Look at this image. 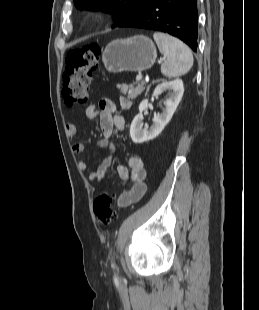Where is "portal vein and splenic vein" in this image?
<instances>
[{
	"label": "portal vein and splenic vein",
	"instance_id": "1",
	"mask_svg": "<svg viewBox=\"0 0 259 310\" xmlns=\"http://www.w3.org/2000/svg\"><path fill=\"white\" fill-rule=\"evenodd\" d=\"M142 78H143V76H142L141 74H139V75L136 76V80H137V81H141Z\"/></svg>",
	"mask_w": 259,
	"mask_h": 310
}]
</instances>
